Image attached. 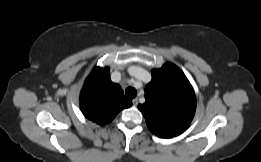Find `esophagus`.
Returning a JSON list of instances; mask_svg holds the SVG:
<instances>
[{
    "label": "esophagus",
    "mask_w": 261,
    "mask_h": 162,
    "mask_svg": "<svg viewBox=\"0 0 261 162\" xmlns=\"http://www.w3.org/2000/svg\"><path fill=\"white\" fill-rule=\"evenodd\" d=\"M132 103H133L134 106H137L138 105V98L133 99Z\"/></svg>",
    "instance_id": "obj_1"
}]
</instances>
